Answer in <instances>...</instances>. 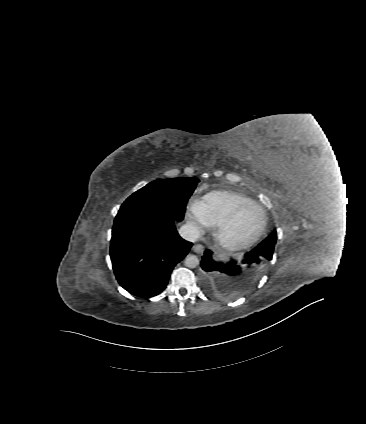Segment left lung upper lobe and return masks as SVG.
<instances>
[{
  "label": "left lung upper lobe",
  "mask_w": 366,
  "mask_h": 424,
  "mask_svg": "<svg viewBox=\"0 0 366 424\" xmlns=\"http://www.w3.org/2000/svg\"><path fill=\"white\" fill-rule=\"evenodd\" d=\"M277 240V233L274 230L265 240L255 247V251L261 256L260 264L253 271V277L257 278L261 275L265 264H267L273 255L275 243Z\"/></svg>",
  "instance_id": "5c2ea615"
}]
</instances>
